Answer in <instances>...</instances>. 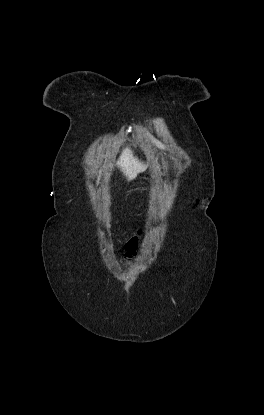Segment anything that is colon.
Here are the masks:
<instances>
[{
	"label": "colon",
	"mask_w": 264,
	"mask_h": 415,
	"mask_svg": "<svg viewBox=\"0 0 264 415\" xmlns=\"http://www.w3.org/2000/svg\"><path fill=\"white\" fill-rule=\"evenodd\" d=\"M135 242V238H130L128 241V248L131 249L133 243Z\"/></svg>",
	"instance_id": "1"
}]
</instances>
